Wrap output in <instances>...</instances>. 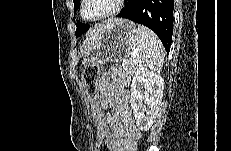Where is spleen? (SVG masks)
<instances>
[{"mask_svg": "<svg viewBox=\"0 0 231 151\" xmlns=\"http://www.w3.org/2000/svg\"><path fill=\"white\" fill-rule=\"evenodd\" d=\"M132 44L138 68L159 73L164 63L165 51L157 35L146 26L138 25L134 30Z\"/></svg>", "mask_w": 231, "mask_h": 151, "instance_id": "spleen-1", "label": "spleen"}]
</instances>
